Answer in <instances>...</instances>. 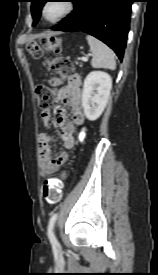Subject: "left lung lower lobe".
I'll return each mask as SVG.
<instances>
[{
  "label": "left lung lower lobe",
  "instance_id": "obj_1",
  "mask_svg": "<svg viewBox=\"0 0 158 275\" xmlns=\"http://www.w3.org/2000/svg\"><path fill=\"white\" fill-rule=\"evenodd\" d=\"M74 10L53 29L86 32L123 58L134 0H72Z\"/></svg>",
  "mask_w": 158,
  "mask_h": 275
}]
</instances>
